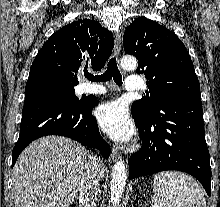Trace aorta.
<instances>
[{
    "mask_svg": "<svg viewBox=\"0 0 220 207\" xmlns=\"http://www.w3.org/2000/svg\"><path fill=\"white\" fill-rule=\"evenodd\" d=\"M137 60L133 56H124L121 59V67L125 70H135L137 68ZM126 166L124 161H118L114 166L111 173L110 182V199L115 206L119 205L126 185Z\"/></svg>",
    "mask_w": 220,
    "mask_h": 207,
    "instance_id": "1",
    "label": "aorta"
}]
</instances>
